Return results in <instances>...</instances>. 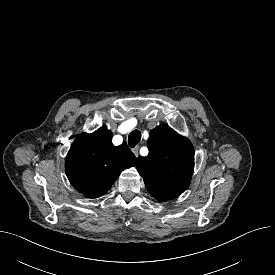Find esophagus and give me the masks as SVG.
<instances>
[{
  "instance_id": "obj_1",
  "label": "esophagus",
  "mask_w": 275,
  "mask_h": 275,
  "mask_svg": "<svg viewBox=\"0 0 275 275\" xmlns=\"http://www.w3.org/2000/svg\"><path fill=\"white\" fill-rule=\"evenodd\" d=\"M132 152L134 153V155L136 157H138V155H139V146H135L134 148H132Z\"/></svg>"
}]
</instances>
